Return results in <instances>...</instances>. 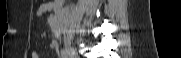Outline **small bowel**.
<instances>
[{
  "mask_svg": "<svg viewBox=\"0 0 181 58\" xmlns=\"http://www.w3.org/2000/svg\"><path fill=\"white\" fill-rule=\"evenodd\" d=\"M53 9H55V5L53 3H51V2L43 3L42 5L39 6V8L37 10V14L39 16H42L45 13H47ZM50 47H51V49L57 50L58 46H57V43L53 41L50 43ZM31 57L32 58H39V55L37 52H32Z\"/></svg>",
  "mask_w": 181,
  "mask_h": 58,
  "instance_id": "1",
  "label": "small bowel"
}]
</instances>
